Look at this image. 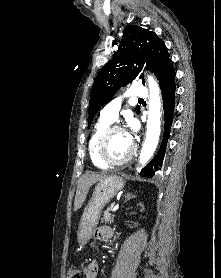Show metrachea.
<instances>
[{
  "label": "trachea",
  "mask_w": 221,
  "mask_h": 278,
  "mask_svg": "<svg viewBox=\"0 0 221 278\" xmlns=\"http://www.w3.org/2000/svg\"><path fill=\"white\" fill-rule=\"evenodd\" d=\"M139 101H143V99H138Z\"/></svg>",
  "instance_id": "obj_1"
}]
</instances>
